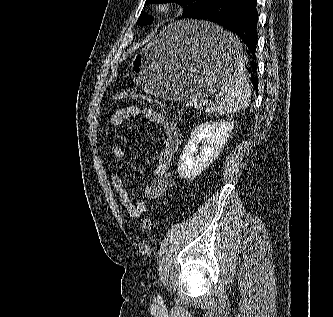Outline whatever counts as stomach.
Segmentation results:
<instances>
[{"label": "stomach", "instance_id": "0dacf381", "mask_svg": "<svg viewBox=\"0 0 333 317\" xmlns=\"http://www.w3.org/2000/svg\"><path fill=\"white\" fill-rule=\"evenodd\" d=\"M231 29L205 21L172 23L134 55L136 84L156 97L183 101L215 93L230 74L248 62Z\"/></svg>", "mask_w": 333, "mask_h": 317}]
</instances>
